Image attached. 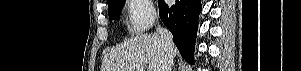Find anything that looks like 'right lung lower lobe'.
Here are the masks:
<instances>
[{
  "label": "right lung lower lobe",
  "mask_w": 301,
  "mask_h": 71,
  "mask_svg": "<svg viewBox=\"0 0 301 71\" xmlns=\"http://www.w3.org/2000/svg\"><path fill=\"white\" fill-rule=\"evenodd\" d=\"M158 5L160 18L173 34V41L181 56L187 62L193 63L201 1L176 0L175 5L168 6L164 0H158Z\"/></svg>",
  "instance_id": "right-lung-lower-lobe-1"
}]
</instances>
